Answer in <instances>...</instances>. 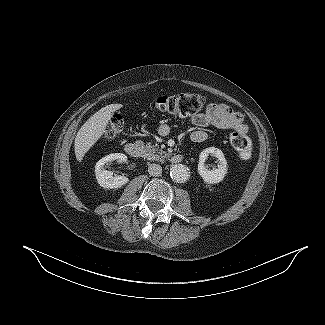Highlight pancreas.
I'll list each match as a JSON object with an SVG mask.
<instances>
[{
	"mask_svg": "<svg viewBox=\"0 0 325 325\" xmlns=\"http://www.w3.org/2000/svg\"><path fill=\"white\" fill-rule=\"evenodd\" d=\"M143 157L152 160V161H164L167 158V153L162 149H159V146L146 144L143 148Z\"/></svg>",
	"mask_w": 325,
	"mask_h": 325,
	"instance_id": "1",
	"label": "pancreas"
}]
</instances>
